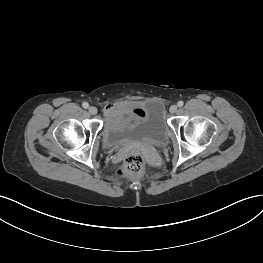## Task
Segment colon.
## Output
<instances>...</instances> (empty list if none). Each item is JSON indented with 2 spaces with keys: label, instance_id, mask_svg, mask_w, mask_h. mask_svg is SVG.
<instances>
[{
  "label": "colon",
  "instance_id": "1",
  "mask_svg": "<svg viewBox=\"0 0 263 263\" xmlns=\"http://www.w3.org/2000/svg\"><path fill=\"white\" fill-rule=\"evenodd\" d=\"M144 163L143 153L138 149H133L124 158L120 168L117 170V174L127 177H138L141 174Z\"/></svg>",
  "mask_w": 263,
  "mask_h": 263
}]
</instances>
